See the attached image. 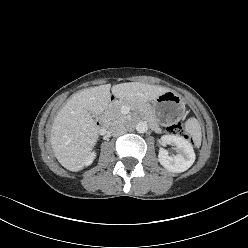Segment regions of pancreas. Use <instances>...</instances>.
Wrapping results in <instances>:
<instances>
[{
	"mask_svg": "<svg viewBox=\"0 0 248 248\" xmlns=\"http://www.w3.org/2000/svg\"><path fill=\"white\" fill-rule=\"evenodd\" d=\"M129 105L130 104L126 101L113 105L112 108H110L108 113H107V117H108L109 121H111V122H126L127 116L121 112V108L123 106H129ZM142 114L144 115V117L146 119L153 120L152 113L149 110V107L148 108L144 107Z\"/></svg>",
	"mask_w": 248,
	"mask_h": 248,
	"instance_id": "cf45deb5",
	"label": "pancreas"
}]
</instances>
